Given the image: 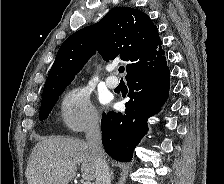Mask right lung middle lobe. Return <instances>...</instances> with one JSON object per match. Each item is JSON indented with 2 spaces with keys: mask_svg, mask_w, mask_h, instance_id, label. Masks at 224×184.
Listing matches in <instances>:
<instances>
[{
  "mask_svg": "<svg viewBox=\"0 0 224 184\" xmlns=\"http://www.w3.org/2000/svg\"><path fill=\"white\" fill-rule=\"evenodd\" d=\"M65 87L47 96L42 97L41 109L39 113V119L44 120L48 117L52 111L59 95L64 91Z\"/></svg>",
  "mask_w": 224,
  "mask_h": 184,
  "instance_id": "dd1d6c3e",
  "label": "right lung middle lobe"
}]
</instances>
